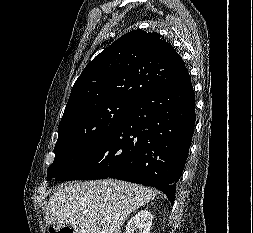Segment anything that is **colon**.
Wrapping results in <instances>:
<instances>
[{
  "mask_svg": "<svg viewBox=\"0 0 253 233\" xmlns=\"http://www.w3.org/2000/svg\"><path fill=\"white\" fill-rule=\"evenodd\" d=\"M51 233H73V230L69 227H61L58 229H52Z\"/></svg>",
  "mask_w": 253,
  "mask_h": 233,
  "instance_id": "1",
  "label": "colon"
}]
</instances>
